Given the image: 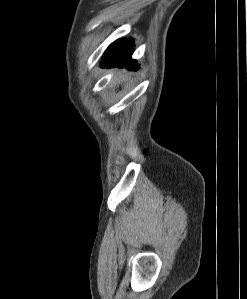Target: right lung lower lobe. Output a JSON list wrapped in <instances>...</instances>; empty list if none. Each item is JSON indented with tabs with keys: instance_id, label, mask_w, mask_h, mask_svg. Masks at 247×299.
I'll list each match as a JSON object with an SVG mask.
<instances>
[{
	"instance_id": "1",
	"label": "right lung lower lobe",
	"mask_w": 247,
	"mask_h": 299,
	"mask_svg": "<svg viewBox=\"0 0 247 299\" xmlns=\"http://www.w3.org/2000/svg\"><path fill=\"white\" fill-rule=\"evenodd\" d=\"M133 50L131 40H127L126 38L116 40L107 48L105 56L103 57L102 66H120L130 70H136L137 63L131 58Z\"/></svg>"
}]
</instances>
